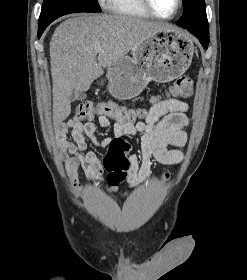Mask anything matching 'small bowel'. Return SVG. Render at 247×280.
<instances>
[{
  "mask_svg": "<svg viewBox=\"0 0 247 280\" xmlns=\"http://www.w3.org/2000/svg\"><path fill=\"white\" fill-rule=\"evenodd\" d=\"M188 105L177 99H167L153 104L143 121L134 124L116 121L111 123L105 115L98 117V126L111 129L113 137L99 139L97 126L89 121L82 123L67 120L57 126L56 136L62 151V159L66 163L70 184L79 188L76 172L82 168L90 181L102 180L104 167L98 156L87 149L88 142L97 148H105L114 139L125 136L140 137V155L129 154L128 171L129 187L134 188L148 181L151 175L152 159L166 165L180 163L184 155L179 149H168V146L182 147L187 140L185 127L188 125L186 112ZM116 191L107 190V193Z\"/></svg>",
  "mask_w": 247,
  "mask_h": 280,
  "instance_id": "c3829d8e",
  "label": "small bowel"
}]
</instances>
